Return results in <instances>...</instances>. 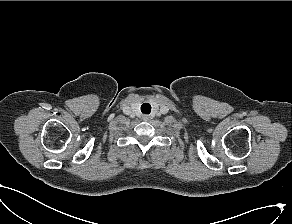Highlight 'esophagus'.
<instances>
[{"instance_id": "esophagus-1", "label": "esophagus", "mask_w": 292, "mask_h": 224, "mask_svg": "<svg viewBox=\"0 0 292 224\" xmlns=\"http://www.w3.org/2000/svg\"><path fill=\"white\" fill-rule=\"evenodd\" d=\"M143 120L147 121V120H149V117L147 115H145V116H143Z\"/></svg>"}]
</instances>
